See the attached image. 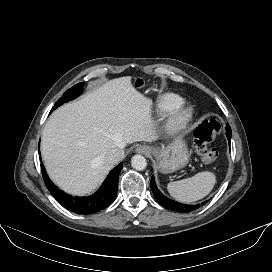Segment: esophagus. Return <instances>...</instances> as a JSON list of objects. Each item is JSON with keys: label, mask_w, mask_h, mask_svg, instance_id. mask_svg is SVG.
<instances>
[{"label": "esophagus", "mask_w": 272, "mask_h": 272, "mask_svg": "<svg viewBox=\"0 0 272 272\" xmlns=\"http://www.w3.org/2000/svg\"><path fill=\"white\" fill-rule=\"evenodd\" d=\"M150 151H151L150 147H148L146 145H141V146L137 147V149H136L137 153L145 154V155L149 154Z\"/></svg>", "instance_id": "esophagus-1"}]
</instances>
